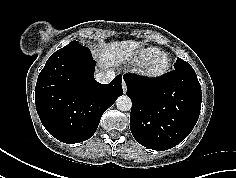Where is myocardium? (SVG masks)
I'll return each instance as SVG.
<instances>
[{
	"mask_svg": "<svg viewBox=\"0 0 236 178\" xmlns=\"http://www.w3.org/2000/svg\"><path fill=\"white\" fill-rule=\"evenodd\" d=\"M166 59V64L162 68H156V63L161 60ZM171 59L168 54L160 53L151 59L141 63L139 65L140 74L147 79H158L164 76L170 69Z\"/></svg>",
	"mask_w": 236,
	"mask_h": 178,
	"instance_id": "myocardium-1",
	"label": "myocardium"
}]
</instances>
